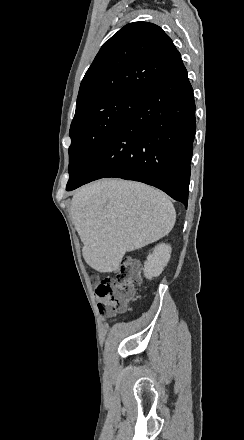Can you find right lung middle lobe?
<instances>
[{"mask_svg": "<svg viewBox=\"0 0 244 440\" xmlns=\"http://www.w3.org/2000/svg\"><path fill=\"white\" fill-rule=\"evenodd\" d=\"M141 97L117 95L108 99L76 106L70 127V187L85 171L103 144L125 121Z\"/></svg>", "mask_w": 244, "mask_h": 440, "instance_id": "right-lung-middle-lobe-1", "label": "right lung middle lobe"}]
</instances>
